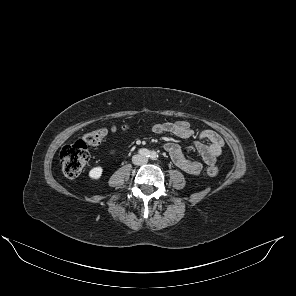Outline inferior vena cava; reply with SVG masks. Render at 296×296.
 <instances>
[{"label":"inferior vena cava","instance_id":"602c4592","mask_svg":"<svg viewBox=\"0 0 296 296\" xmlns=\"http://www.w3.org/2000/svg\"><path fill=\"white\" fill-rule=\"evenodd\" d=\"M147 162H148V158L145 156H142L139 154L133 156V163L135 165H143V164H146Z\"/></svg>","mask_w":296,"mask_h":296}]
</instances>
